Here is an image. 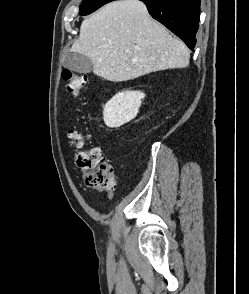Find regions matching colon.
<instances>
[{"label": "colon", "instance_id": "obj_1", "mask_svg": "<svg viewBox=\"0 0 249 294\" xmlns=\"http://www.w3.org/2000/svg\"><path fill=\"white\" fill-rule=\"evenodd\" d=\"M63 80L67 82L68 92L74 96L80 95L88 87L87 76L65 69ZM71 144L76 148L75 161L83 173L87 187L99 191H112L116 186L113 166L106 160L99 148H84L88 136L78 129L68 133Z\"/></svg>", "mask_w": 249, "mask_h": 294}]
</instances>
